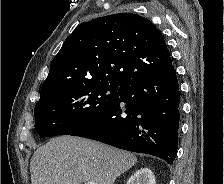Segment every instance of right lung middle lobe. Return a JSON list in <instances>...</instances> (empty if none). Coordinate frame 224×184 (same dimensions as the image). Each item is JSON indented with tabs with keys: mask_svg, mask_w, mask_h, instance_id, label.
I'll use <instances>...</instances> for the list:
<instances>
[{
	"mask_svg": "<svg viewBox=\"0 0 224 184\" xmlns=\"http://www.w3.org/2000/svg\"><path fill=\"white\" fill-rule=\"evenodd\" d=\"M122 85L88 82L36 104L35 129L41 138L69 135L99 117L119 97Z\"/></svg>",
	"mask_w": 224,
	"mask_h": 184,
	"instance_id": "right-lung-middle-lobe-1",
	"label": "right lung middle lobe"
}]
</instances>
